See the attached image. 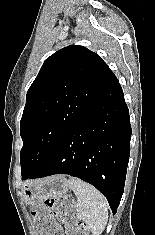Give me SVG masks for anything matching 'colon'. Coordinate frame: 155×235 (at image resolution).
I'll return each instance as SVG.
<instances>
[{
    "instance_id": "obj_1",
    "label": "colon",
    "mask_w": 155,
    "mask_h": 235,
    "mask_svg": "<svg viewBox=\"0 0 155 235\" xmlns=\"http://www.w3.org/2000/svg\"><path fill=\"white\" fill-rule=\"evenodd\" d=\"M74 203L69 197L48 198L34 211L41 235H89L86 225L73 216ZM60 222L65 225L60 232Z\"/></svg>"
}]
</instances>
